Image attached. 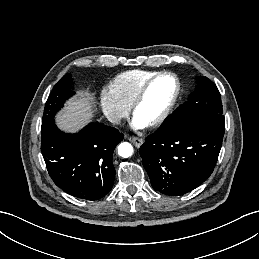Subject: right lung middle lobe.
Listing matches in <instances>:
<instances>
[{
	"label": "right lung middle lobe",
	"instance_id": "obj_1",
	"mask_svg": "<svg viewBox=\"0 0 259 259\" xmlns=\"http://www.w3.org/2000/svg\"><path fill=\"white\" fill-rule=\"evenodd\" d=\"M72 83L71 74H67L53 87L45 104L42 129H45L54 120L55 114L63 107L64 102L75 94L72 90Z\"/></svg>",
	"mask_w": 259,
	"mask_h": 259
}]
</instances>
